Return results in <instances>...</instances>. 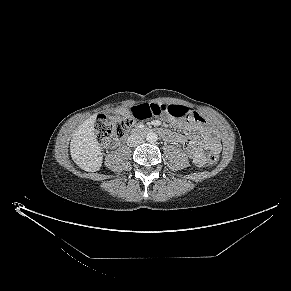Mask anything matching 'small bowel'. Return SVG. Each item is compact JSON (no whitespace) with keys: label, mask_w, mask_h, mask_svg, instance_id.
I'll use <instances>...</instances> for the list:
<instances>
[{"label":"small bowel","mask_w":291,"mask_h":291,"mask_svg":"<svg viewBox=\"0 0 291 291\" xmlns=\"http://www.w3.org/2000/svg\"><path fill=\"white\" fill-rule=\"evenodd\" d=\"M151 124L153 126H174L182 131L190 132L191 136L185 132H173L163 129L161 134L165 140L185 146L191 159L198 166H203L206 163L204 154L206 150L218 151L220 148L217 133L207 125V122L201 116L197 119L187 118L180 120L169 115L164 121L154 120Z\"/></svg>","instance_id":"c3829d8e"}]
</instances>
